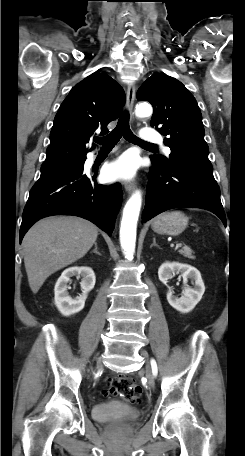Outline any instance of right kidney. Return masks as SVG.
I'll use <instances>...</instances> for the list:
<instances>
[{"mask_svg":"<svg viewBox=\"0 0 245 456\" xmlns=\"http://www.w3.org/2000/svg\"><path fill=\"white\" fill-rule=\"evenodd\" d=\"M73 276L82 277L80 283L82 294L75 298L70 297L67 292V283ZM95 281L94 271L90 267H70L64 270L54 288L55 305L60 313L64 316H70L80 312L85 306L88 293L95 286Z\"/></svg>","mask_w":245,"mask_h":456,"instance_id":"obj_1","label":"right kidney"}]
</instances>
